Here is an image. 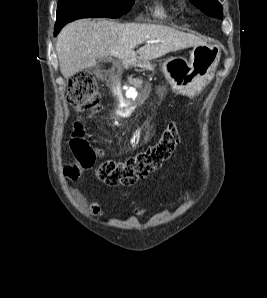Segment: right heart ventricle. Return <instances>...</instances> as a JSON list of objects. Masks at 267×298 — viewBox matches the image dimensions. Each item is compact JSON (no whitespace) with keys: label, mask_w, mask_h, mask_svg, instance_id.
Returning <instances> with one entry per match:
<instances>
[{"label":"right heart ventricle","mask_w":267,"mask_h":298,"mask_svg":"<svg viewBox=\"0 0 267 298\" xmlns=\"http://www.w3.org/2000/svg\"><path fill=\"white\" fill-rule=\"evenodd\" d=\"M178 7L172 0L158 1L154 4L153 14L157 17H165L169 14L177 13Z\"/></svg>","instance_id":"e07e8e85"}]
</instances>
